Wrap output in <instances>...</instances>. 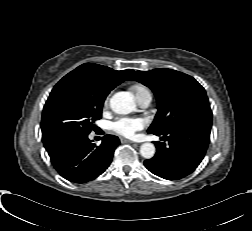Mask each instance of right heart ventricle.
Returning <instances> with one entry per match:
<instances>
[{
    "label": "right heart ventricle",
    "mask_w": 252,
    "mask_h": 231,
    "mask_svg": "<svg viewBox=\"0 0 252 231\" xmlns=\"http://www.w3.org/2000/svg\"><path fill=\"white\" fill-rule=\"evenodd\" d=\"M131 89L136 99L144 94L150 93L149 90L143 85H134Z\"/></svg>",
    "instance_id": "obj_1"
}]
</instances>
